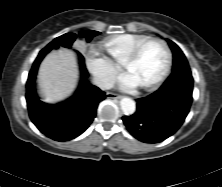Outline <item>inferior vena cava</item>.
I'll use <instances>...</instances> for the list:
<instances>
[{"label": "inferior vena cava", "mask_w": 222, "mask_h": 187, "mask_svg": "<svg viewBox=\"0 0 222 187\" xmlns=\"http://www.w3.org/2000/svg\"><path fill=\"white\" fill-rule=\"evenodd\" d=\"M95 82L97 86L103 90L111 89L114 87L115 84V81L113 79L107 77L97 78Z\"/></svg>", "instance_id": "602c4592"}]
</instances>
